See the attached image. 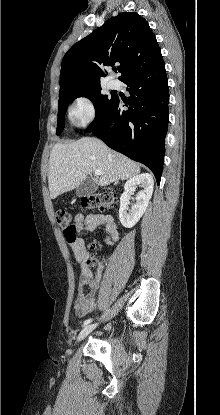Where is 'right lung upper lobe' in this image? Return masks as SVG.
<instances>
[{
    "instance_id": "right-lung-upper-lobe-1",
    "label": "right lung upper lobe",
    "mask_w": 220,
    "mask_h": 415,
    "mask_svg": "<svg viewBox=\"0 0 220 415\" xmlns=\"http://www.w3.org/2000/svg\"><path fill=\"white\" fill-rule=\"evenodd\" d=\"M161 50L147 21L122 12L75 43L65 54L59 94L82 85L100 84L104 68L118 64L120 81L159 64Z\"/></svg>"
}]
</instances>
